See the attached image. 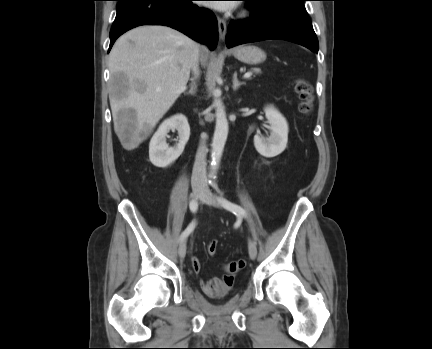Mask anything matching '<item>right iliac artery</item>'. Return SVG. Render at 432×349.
I'll return each instance as SVG.
<instances>
[{
    "label": "right iliac artery",
    "instance_id": "right-iliac-artery-1",
    "mask_svg": "<svg viewBox=\"0 0 432 349\" xmlns=\"http://www.w3.org/2000/svg\"><path fill=\"white\" fill-rule=\"evenodd\" d=\"M189 208L191 212L195 213L198 208V202L195 199L191 200L189 203ZM194 228L195 222L190 223L189 226L182 232L180 241L184 240L194 230Z\"/></svg>",
    "mask_w": 432,
    "mask_h": 349
}]
</instances>
